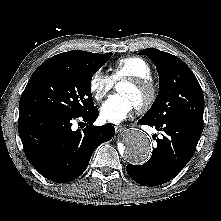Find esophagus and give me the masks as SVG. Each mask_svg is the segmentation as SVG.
Segmentation results:
<instances>
[{
	"label": "esophagus",
	"mask_w": 221,
	"mask_h": 221,
	"mask_svg": "<svg viewBox=\"0 0 221 221\" xmlns=\"http://www.w3.org/2000/svg\"><path fill=\"white\" fill-rule=\"evenodd\" d=\"M124 126L122 125H118V126H115V130H116V133H120L124 130Z\"/></svg>",
	"instance_id": "esophagus-1"
}]
</instances>
